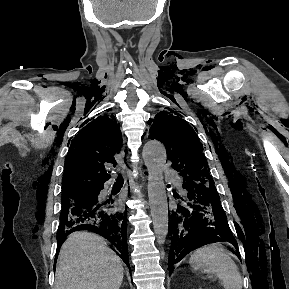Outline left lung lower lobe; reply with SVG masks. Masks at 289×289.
<instances>
[{"label":"left lung lower lobe","mask_w":289,"mask_h":289,"mask_svg":"<svg viewBox=\"0 0 289 289\" xmlns=\"http://www.w3.org/2000/svg\"><path fill=\"white\" fill-rule=\"evenodd\" d=\"M174 198L176 202L169 211V273L174 264L200 247L201 239L213 237L238 248L215 186L183 181L181 192L174 193Z\"/></svg>","instance_id":"1"}]
</instances>
